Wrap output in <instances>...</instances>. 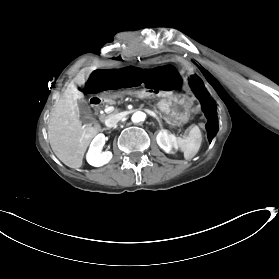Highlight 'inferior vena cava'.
<instances>
[{"mask_svg":"<svg viewBox=\"0 0 279 279\" xmlns=\"http://www.w3.org/2000/svg\"><path fill=\"white\" fill-rule=\"evenodd\" d=\"M109 117H110L109 119L105 120L106 126L116 128L117 127L116 123L119 120H121V117L119 115H111Z\"/></svg>","mask_w":279,"mask_h":279,"instance_id":"602c4592","label":"inferior vena cava"}]
</instances>
